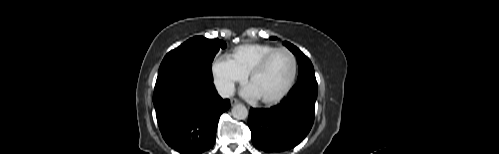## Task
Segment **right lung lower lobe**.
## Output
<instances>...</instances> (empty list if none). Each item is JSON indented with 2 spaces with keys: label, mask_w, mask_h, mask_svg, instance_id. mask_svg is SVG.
I'll return each mask as SVG.
<instances>
[{
  "label": "right lung lower lobe",
  "mask_w": 499,
  "mask_h": 154,
  "mask_svg": "<svg viewBox=\"0 0 499 154\" xmlns=\"http://www.w3.org/2000/svg\"><path fill=\"white\" fill-rule=\"evenodd\" d=\"M153 103L166 143L183 154H199L215 143L219 118L230 107L213 77L203 72L169 76L156 82Z\"/></svg>",
  "instance_id": "right-lung-lower-lobe-1"
}]
</instances>
